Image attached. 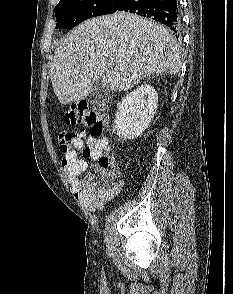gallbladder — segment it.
Returning <instances> with one entry per match:
<instances>
[{
  "label": "gallbladder",
  "instance_id": "bac80fb5",
  "mask_svg": "<svg viewBox=\"0 0 233 294\" xmlns=\"http://www.w3.org/2000/svg\"><path fill=\"white\" fill-rule=\"evenodd\" d=\"M110 98V90L104 86L100 80H98L93 85L91 92L87 96V101L91 106L97 109H105Z\"/></svg>",
  "mask_w": 233,
  "mask_h": 294
}]
</instances>
